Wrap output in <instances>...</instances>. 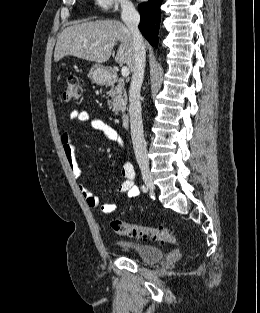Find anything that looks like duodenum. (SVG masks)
<instances>
[{
	"instance_id": "duodenum-1",
	"label": "duodenum",
	"mask_w": 260,
	"mask_h": 313,
	"mask_svg": "<svg viewBox=\"0 0 260 313\" xmlns=\"http://www.w3.org/2000/svg\"><path fill=\"white\" fill-rule=\"evenodd\" d=\"M115 81V77L108 72L106 75V82L112 84ZM121 123L124 127H128L129 125V115L127 113H123L121 116Z\"/></svg>"
}]
</instances>
